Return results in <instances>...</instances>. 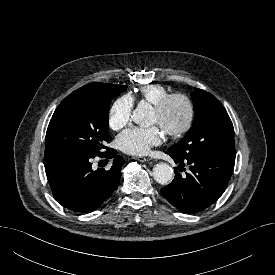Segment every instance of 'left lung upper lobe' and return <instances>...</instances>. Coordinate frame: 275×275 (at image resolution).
I'll use <instances>...</instances> for the list:
<instances>
[{
    "instance_id": "5c2ea615",
    "label": "left lung upper lobe",
    "mask_w": 275,
    "mask_h": 275,
    "mask_svg": "<svg viewBox=\"0 0 275 275\" xmlns=\"http://www.w3.org/2000/svg\"><path fill=\"white\" fill-rule=\"evenodd\" d=\"M191 97L195 111L193 126L168 151L183 159L201 153L235 159L234 128L223 105L201 89H195Z\"/></svg>"
}]
</instances>
